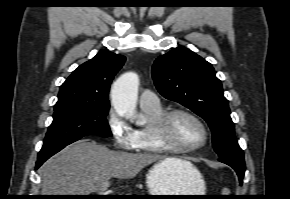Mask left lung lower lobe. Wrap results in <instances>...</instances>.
I'll use <instances>...</instances> for the list:
<instances>
[{"instance_id":"1","label":"left lung lower lobe","mask_w":290,"mask_h":199,"mask_svg":"<svg viewBox=\"0 0 290 199\" xmlns=\"http://www.w3.org/2000/svg\"><path fill=\"white\" fill-rule=\"evenodd\" d=\"M219 161L231 166L238 174L240 184L243 183V176L245 172V160L244 156H233V157H220Z\"/></svg>"}]
</instances>
